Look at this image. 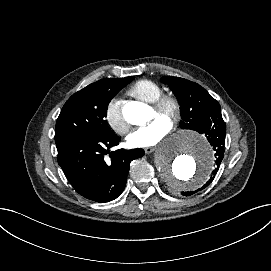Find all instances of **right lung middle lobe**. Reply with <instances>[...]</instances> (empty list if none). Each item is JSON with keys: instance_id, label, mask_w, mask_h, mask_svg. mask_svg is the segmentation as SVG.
Listing matches in <instances>:
<instances>
[{"instance_id": "dd1d6c3e", "label": "right lung middle lobe", "mask_w": 271, "mask_h": 271, "mask_svg": "<svg viewBox=\"0 0 271 271\" xmlns=\"http://www.w3.org/2000/svg\"><path fill=\"white\" fill-rule=\"evenodd\" d=\"M133 79V76L101 79L73 94L64 104L57 119L55 142L76 135L112 134L104 119L108 104Z\"/></svg>"}]
</instances>
